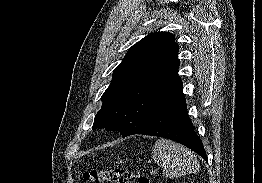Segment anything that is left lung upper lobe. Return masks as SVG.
<instances>
[{"label":"left lung upper lobe","mask_w":262,"mask_h":183,"mask_svg":"<svg viewBox=\"0 0 262 183\" xmlns=\"http://www.w3.org/2000/svg\"><path fill=\"white\" fill-rule=\"evenodd\" d=\"M178 49L174 35L166 32L152 33L132 46L113 71L92 128L120 131L123 137L142 129L182 85Z\"/></svg>","instance_id":"5c2ea615"}]
</instances>
